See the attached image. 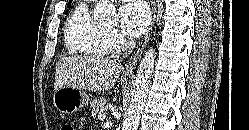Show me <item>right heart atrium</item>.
Returning <instances> with one entry per match:
<instances>
[{
    "label": "right heart atrium",
    "instance_id": "d8ad5b80",
    "mask_svg": "<svg viewBox=\"0 0 249 130\" xmlns=\"http://www.w3.org/2000/svg\"><path fill=\"white\" fill-rule=\"evenodd\" d=\"M107 37H108L110 51L112 52H118L126 45L125 39L116 30L107 31Z\"/></svg>",
    "mask_w": 249,
    "mask_h": 130
}]
</instances>
